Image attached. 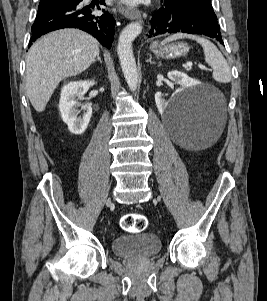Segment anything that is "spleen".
Listing matches in <instances>:
<instances>
[{"label":"spleen","instance_id":"3e777b00","mask_svg":"<svg viewBox=\"0 0 267 301\" xmlns=\"http://www.w3.org/2000/svg\"><path fill=\"white\" fill-rule=\"evenodd\" d=\"M182 38L195 40L202 46L205 55V62L211 66L215 81L220 83H228L231 81V72L226 59L219 49L209 40L196 35L177 33L167 37L162 44Z\"/></svg>","mask_w":267,"mask_h":301}]
</instances>
